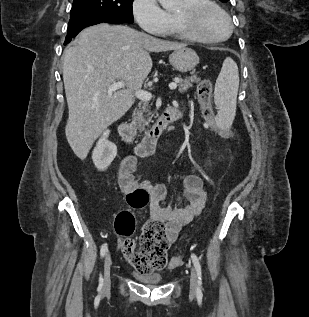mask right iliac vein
<instances>
[{"mask_svg":"<svg viewBox=\"0 0 309 317\" xmlns=\"http://www.w3.org/2000/svg\"><path fill=\"white\" fill-rule=\"evenodd\" d=\"M111 255L110 253L106 254L105 260H104V273H103V291H107L110 288L111 285V279H110V272H111Z\"/></svg>","mask_w":309,"mask_h":317,"instance_id":"right-iliac-vein-1","label":"right iliac vein"}]
</instances>
